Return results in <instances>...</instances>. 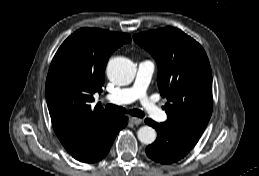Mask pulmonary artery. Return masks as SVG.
Listing matches in <instances>:
<instances>
[{
  "label": "pulmonary artery",
  "mask_w": 259,
  "mask_h": 176,
  "mask_svg": "<svg viewBox=\"0 0 259 176\" xmlns=\"http://www.w3.org/2000/svg\"><path fill=\"white\" fill-rule=\"evenodd\" d=\"M154 69L153 62L148 60L140 62L137 66V74L133 85L108 94L105 97L106 101L114 105H124L139 100L148 115L159 121L165 120V113L147 95V87L153 76Z\"/></svg>",
  "instance_id": "1"
}]
</instances>
